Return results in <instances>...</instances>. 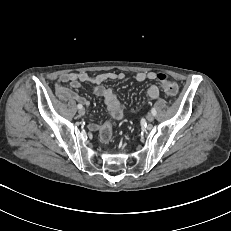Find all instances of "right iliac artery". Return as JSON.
Wrapping results in <instances>:
<instances>
[{
	"label": "right iliac artery",
	"instance_id": "right-iliac-artery-1",
	"mask_svg": "<svg viewBox=\"0 0 231 231\" xmlns=\"http://www.w3.org/2000/svg\"><path fill=\"white\" fill-rule=\"evenodd\" d=\"M77 107H78L79 109L83 108V106H82L81 104H78Z\"/></svg>",
	"mask_w": 231,
	"mask_h": 231
}]
</instances>
